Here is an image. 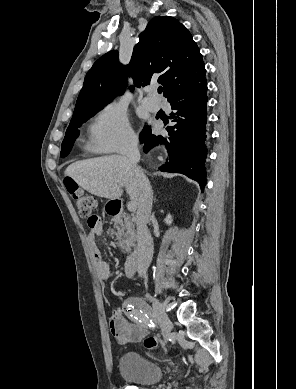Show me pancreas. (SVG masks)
I'll list each match as a JSON object with an SVG mask.
<instances>
[{
	"mask_svg": "<svg viewBox=\"0 0 296 389\" xmlns=\"http://www.w3.org/2000/svg\"><path fill=\"white\" fill-rule=\"evenodd\" d=\"M112 221L114 229L111 230V235L116 236L117 245L122 251H129L135 237L134 224L126 214L114 217Z\"/></svg>",
	"mask_w": 296,
	"mask_h": 389,
	"instance_id": "cf45deb5",
	"label": "pancreas"
}]
</instances>
